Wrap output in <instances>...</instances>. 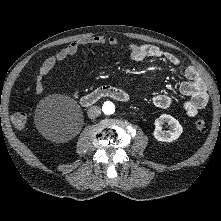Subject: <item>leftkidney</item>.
<instances>
[{"instance_id":"1","label":"left kidney","mask_w":221,"mask_h":221,"mask_svg":"<svg viewBox=\"0 0 221 221\" xmlns=\"http://www.w3.org/2000/svg\"><path fill=\"white\" fill-rule=\"evenodd\" d=\"M168 123L170 130L164 131L162 125ZM183 127L177 119L168 114H162L155 120L154 137L161 142H172L180 137Z\"/></svg>"}]
</instances>
